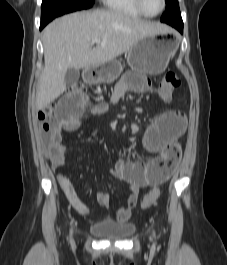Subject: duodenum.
Returning <instances> with one entry per match:
<instances>
[{
    "label": "duodenum",
    "mask_w": 227,
    "mask_h": 265,
    "mask_svg": "<svg viewBox=\"0 0 227 265\" xmlns=\"http://www.w3.org/2000/svg\"><path fill=\"white\" fill-rule=\"evenodd\" d=\"M85 79H86V81L90 82V81H92L93 76H92L90 73H87V74L85 75Z\"/></svg>",
    "instance_id": "410a0bca"
}]
</instances>
